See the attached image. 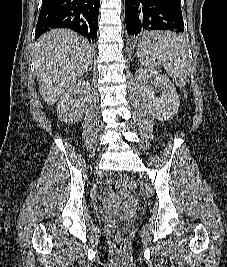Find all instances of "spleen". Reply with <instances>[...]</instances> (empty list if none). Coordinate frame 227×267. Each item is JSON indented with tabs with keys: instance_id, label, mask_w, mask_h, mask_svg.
Here are the masks:
<instances>
[{
	"instance_id": "3e777b00",
	"label": "spleen",
	"mask_w": 227,
	"mask_h": 267,
	"mask_svg": "<svg viewBox=\"0 0 227 267\" xmlns=\"http://www.w3.org/2000/svg\"><path fill=\"white\" fill-rule=\"evenodd\" d=\"M136 55L142 67L154 69L162 64L175 83L182 87L187 78V47L182 37L172 32H152L140 38Z\"/></svg>"
}]
</instances>
